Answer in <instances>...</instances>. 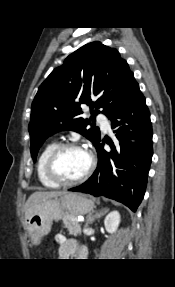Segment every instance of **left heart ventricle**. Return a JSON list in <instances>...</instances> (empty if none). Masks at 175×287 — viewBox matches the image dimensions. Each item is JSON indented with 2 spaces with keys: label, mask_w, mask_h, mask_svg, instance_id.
Listing matches in <instances>:
<instances>
[{
  "label": "left heart ventricle",
  "mask_w": 175,
  "mask_h": 287,
  "mask_svg": "<svg viewBox=\"0 0 175 287\" xmlns=\"http://www.w3.org/2000/svg\"><path fill=\"white\" fill-rule=\"evenodd\" d=\"M89 155L81 149H66L56 160L57 174L65 180H74L80 177L88 168Z\"/></svg>",
  "instance_id": "1"
}]
</instances>
